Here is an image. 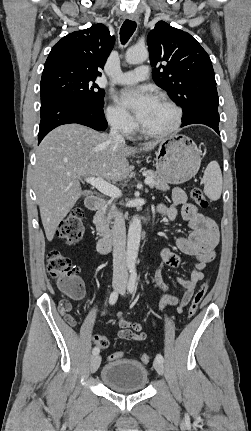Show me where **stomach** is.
I'll return each instance as SVG.
<instances>
[{
	"instance_id": "obj_1",
	"label": "stomach",
	"mask_w": 251,
	"mask_h": 431,
	"mask_svg": "<svg viewBox=\"0 0 251 431\" xmlns=\"http://www.w3.org/2000/svg\"><path fill=\"white\" fill-rule=\"evenodd\" d=\"M155 160L157 174L169 184L187 182L197 174L201 164L197 146L184 135L162 140Z\"/></svg>"
}]
</instances>
